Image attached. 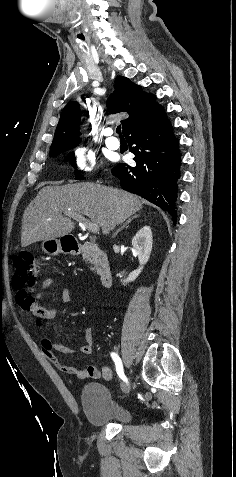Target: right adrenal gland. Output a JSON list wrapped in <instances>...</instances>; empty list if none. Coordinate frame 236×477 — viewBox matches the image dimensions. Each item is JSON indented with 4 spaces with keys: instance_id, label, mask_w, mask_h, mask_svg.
<instances>
[{
    "instance_id": "right-adrenal-gland-1",
    "label": "right adrenal gland",
    "mask_w": 236,
    "mask_h": 477,
    "mask_svg": "<svg viewBox=\"0 0 236 477\" xmlns=\"http://www.w3.org/2000/svg\"><path fill=\"white\" fill-rule=\"evenodd\" d=\"M137 217H138V215H134L133 217L129 218V219L114 233L113 236L115 237L123 228L127 227V226L129 225V223H130L133 219H135V218H137Z\"/></svg>"
}]
</instances>
